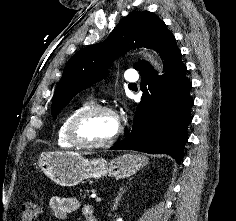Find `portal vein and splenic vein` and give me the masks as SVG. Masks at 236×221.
Wrapping results in <instances>:
<instances>
[{
	"label": "portal vein and splenic vein",
	"mask_w": 236,
	"mask_h": 221,
	"mask_svg": "<svg viewBox=\"0 0 236 221\" xmlns=\"http://www.w3.org/2000/svg\"><path fill=\"white\" fill-rule=\"evenodd\" d=\"M95 201H96V202H101L102 199H101L100 197H96V198H95Z\"/></svg>",
	"instance_id": "obj_1"
}]
</instances>
